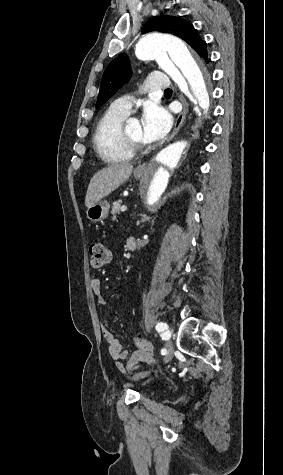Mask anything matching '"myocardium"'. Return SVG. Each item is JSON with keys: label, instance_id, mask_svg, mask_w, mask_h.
Returning <instances> with one entry per match:
<instances>
[{"label": "myocardium", "instance_id": "f54148a6", "mask_svg": "<svg viewBox=\"0 0 283 475\" xmlns=\"http://www.w3.org/2000/svg\"><path fill=\"white\" fill-rule=\"evenodd\" d=\"M147 147L148 142H137L130 139L126 134V129L122 127L115 141L106 146L100 155L104 158L114 157L130 161L142 154Z\"/></svg>", "mask_w": 283, "mask_h": 475}]
</instances>
